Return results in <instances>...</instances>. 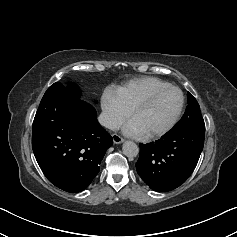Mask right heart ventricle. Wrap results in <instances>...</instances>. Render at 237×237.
<instances>
[{
	"mask_svg": "<svg viewBox=\"0 0 237 237\" xmlns=\"http://www.w3.org/2000/svg\"><path fill=\"white\" fill-rule=\"evenodd\" d=\"M168 85L167 82L155 77H141L132 79L122 86L114 87L110 91L130 111L132 106L146 94Z\"/></svg>",
	"mask_w": 237,
	"mask_h": 237,
	"instance_id": "obj_1",
	"label": "right heart ventricle"
}]
</instances>
